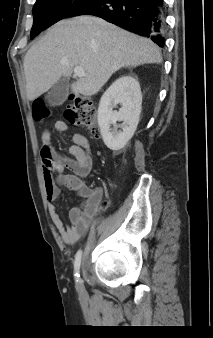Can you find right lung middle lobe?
<instances>
[{"instance_id":"dd1d6c3e","label":"right lung middle lobe","mask_w":213,"mask_h":338,"mask_svg":"<svg viewBox=\"0 0 213 338\" xmlns=\"http://www.w3.org/2000/svg\"><path fill=\"white\" fill-rule=\"evenodd\" d=\"M91 1L93 0H37L33 7L31 39Z\"/></svg>"}]
</instances>
